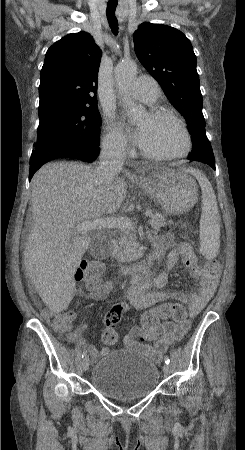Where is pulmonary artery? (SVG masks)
<instances>
[{"instance_id":"e3ab8cb5","label":"pulmonary artery","mask_w":245,"mask_h":450,"mask_svg":"<svg viewBox=\"0 0 245 450\" xmlns=\"http://www.w3.org/2000/svg\"><path fill=\"white\" fill-rule=\"evenodd\" d=\"M128 95L133 99L153 103L160 96V88L153 77L140 76L127 88Z\"/></svg>"}]
</instances>
